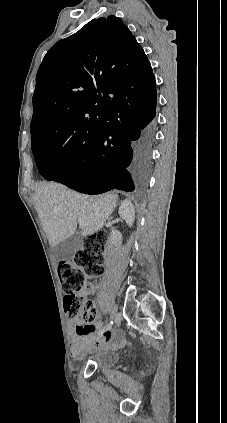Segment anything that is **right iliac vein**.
<instances>
[{"label": "right iliac vein", "instance_id": "obj_1", "mask_svg": "<svg viewBox=\"0 0 227 423\" xmlns=\"http://www.w3.org/2000/svg\"><path fill=\"white\" fill-rule=\"evenodd\" d=\"M116 312H117V309H116V307H115V306H113V307H112V310H111V314H110V319H111V320H113V319H114Z\"/></svg>", "mask_w": 227, "mask_h": 423}]
</instances>
